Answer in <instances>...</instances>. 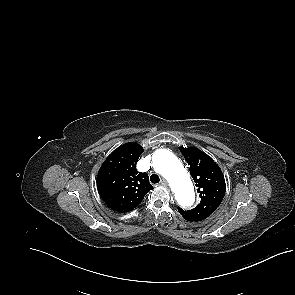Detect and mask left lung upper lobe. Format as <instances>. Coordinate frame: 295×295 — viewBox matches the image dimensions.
<instances>
[{"mask_svg":"<svg viewBox=\"0 0 295 295\" xmlns=\"http://www.w3.org/2000/svg\"><path fill=\"white\" fill-rule=\"evenodd\" d=\"M180 150L190 165V174L201 198L194 209L186 212L205 219L217 209L225 195L223 173L214 160L201 150L194 147H181Z\"/></svg>","mask_w":295,"mask_h":295,"instance_id":"1","label":"left lung upper lobe"}]
</instances>
